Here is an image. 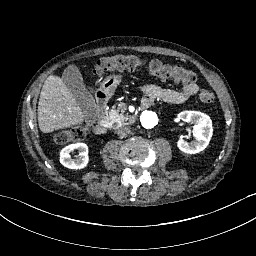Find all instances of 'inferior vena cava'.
<instances>
[{"mask_svg": "<svg viewBox=\"0 0 256 256\" xmlns=\"http://www.w3.org/2000/svg\"><path fill=\"white\" fill-rule=\"evenodd\" d=\"M130 127L129 126H120L118 129H117V134L123 138V137H126L129 133H130Z\"/></svg>", "mask_w": 256, "mask_h": 256, "instance_id": "obj_1", "label": "inferior vena cava"}]
</instances>
